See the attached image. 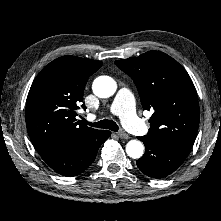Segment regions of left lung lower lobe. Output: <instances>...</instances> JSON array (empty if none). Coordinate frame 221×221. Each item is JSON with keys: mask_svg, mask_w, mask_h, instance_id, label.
<instances>
[{"mask_svg": "<svg viewBox=\"0 0 221 221\" xmlns=\"http://www.w3.org/2000/svg\"><path fill=\"white\" fill-rule=\"evenodd\" d=\"M138 139L145 145V154L137 160V166L145 175L153 178H163L174 172L191 150L163 139L148 136Z\"/></svg>", "mask_w": 221, "mask_h": 221, "instance_id": "left-lung-lower-lobe-1", "label": "left lung lower lobe"}]
</instances>
